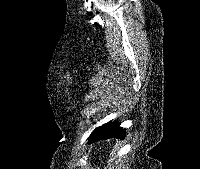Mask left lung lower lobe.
Segmentation results:
<instances>
[{
  "label": "left lung lower lobe",
  "mask_w": 200,
  "mask_h": 169,
  "mask_svg": "<svg viewBox=\"0 0 200 169\" xmlns=\"http://www.w3.org/2000/svg\"><path fill=\"white\" fill-rule=\"evenodd\" d=\"M125 135V130L119 126L118 122L106 123L91 133L88 143L108 138H123Z\"/></svg>",
  "instance_id": "0a47b994"
}]
</instances>
